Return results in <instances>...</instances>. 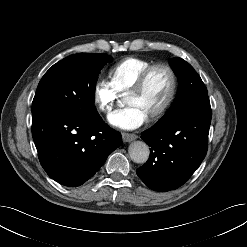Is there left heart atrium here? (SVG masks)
<instances>
[{"instance_id": "obj_1", "label": "left heart atrium", "mask_w": 247, "mask_h": 247, "mask_svg": "<svg viewBox=\"0 0 247 247\" xmlns=\"http://www.w3.org/2000/svg\"><path fill=\"white\" fill-rule=\"evenodd\" d=\"M147 118L148 116L139 107L128 106L112 113L109 117V122L117 128L133 130L142 126Z\"/></svg>"}]
</instances>
